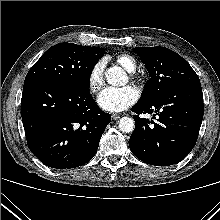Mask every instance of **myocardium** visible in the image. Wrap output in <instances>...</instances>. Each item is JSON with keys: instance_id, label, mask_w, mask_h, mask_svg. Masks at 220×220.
<instances>
[{"instance_id": "obj_1", "label": "myocardium", "mask_w": 220, "mask_h": 220, "mask_svg": "<svg viewBox=\"0 0 220 220\" xmlns=\"http://www.w3.org/2000/svg\"><path fill=\"white\" fill-rule=\"evenodd\" d=\"M131 76L132 78H137L136 74L133 71L131 72Z\"/></svg>"}]
</instances>
